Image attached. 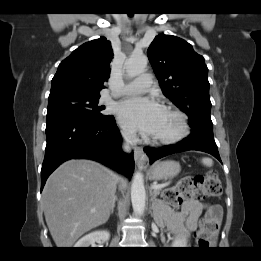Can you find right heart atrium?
<instances>
[{
    "mask_svg": "<svg viewBox=\"0 0 261 261\" xmlns=\"http://www.w3.org/2000/svg\"><path fill=\"white\" fill-rule=\"evenodd\" d=\"M122 135L123 137L128 140V141H131L134 139V135L132 132L128 131V130H122Z\"/></svg>",
    "mask_w": 261,
    "mask_h": 261,
    "instance_id": "d8ad5b80",
    "label": "right heart atrium"
}]
</instances>
